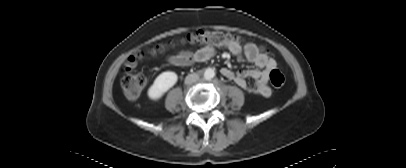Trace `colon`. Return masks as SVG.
Returning a JSON list of instances; mask_svg holds the SVG:
<instances>
[{"label":"colon","mask_w":406,"mask_h":168,"mask_svg":"<svg viewBox=\"0 0 406 168\" xmlns=\"http://www.w3.org/2000/svg\"><path fill=\"white\" fill-rule=\"evenodd\" d=\"M178 44H192L228 48L230 46H240L242 44V38L240 36L219 30H199L184 36L180 40H171L166 43L160 44L156 46V48L150 49L149 53L154 54L156 52H164L175 47ZM141 57L142 54L140 53L130 57L123 68L121 86L124 94L130 100H136L141 95L146 85L145 77L135 72L137 62ZM269 79L271 84L276 88L282 87L285 82V78L282 72L276 68L270 71Z\"/></svg>","instance_id":"colon-1"}]
</instances>
